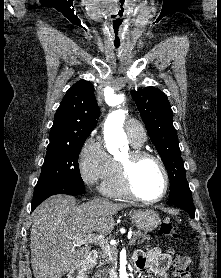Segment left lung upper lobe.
Listing matches in <instances>:
<instances>
[{
    "mask_svg": "<svg viewBox=\"0 0 221 278\" xmlns=\"http://www.w3.org/2000/svg\"><path fill=\"white\" fill-rule=\"evenodd\" d=\"M141 118L155 145L170 179L169 200L184 194H192L185 176L176 130L173 126V112L167 96L154 87L132 91Z\"/></svg>",
    "mask_w": 221,
    "mask_h": 278,
    "instance_id": "5c2ea615",
    "label": "left lung upper lobe"
}]
</instances>
